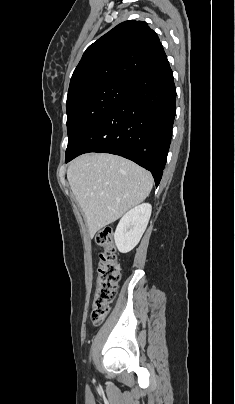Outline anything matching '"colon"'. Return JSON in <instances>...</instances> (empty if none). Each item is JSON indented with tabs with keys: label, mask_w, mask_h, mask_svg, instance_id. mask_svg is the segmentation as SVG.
Here are the masks:
<instances>
[{
	"label": "colon",
	"mask_w": 235,
	"mask_h": 404,
	"mask_svg": "<svg viewBox=\"0 0 235 404\" xmlns=\"http://www.w3.org/2000/svg\"><path fill=\"white\" fill-rule=\"evenodd\" d=\"M96 243L100 247L101 253L91 320L94 325H100L108 315L111 304L116 298L120 280V264L110 227H105L98 233Z\"/></svg>",
	"instance_id": "obj_1"
}]
</instances>
